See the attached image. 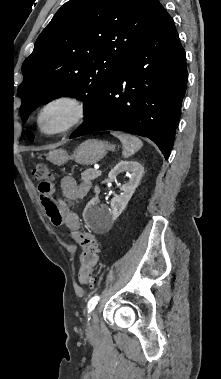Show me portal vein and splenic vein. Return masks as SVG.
Masks as SVG:
<instances>
[{"instance_id":"1","label":"portal vein and splenic vein","mask_w":221,"mask_h":379,"mask_svg":"<svg viewBox=\"0 0 221 379\" xmlns=\"http://www.w3.org/2000/svg\"><path fill=\"white\" fill-rule=\"evenodd\" d=\"M95 170H97L98 172H100L99 170V166H94Z\"/></svg>"}]
</instances>
